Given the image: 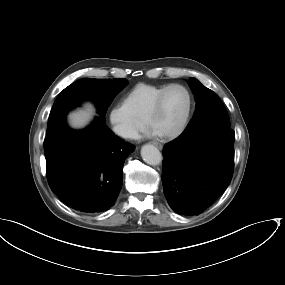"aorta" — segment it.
<instances>
[{
  "label": "aorta",
  "mask_w": 285,
  "mask_h": 285,
  "mask_svg": "<svg viewBox=\"0 0 285 285\" xmlns=\"http://www.w3.org/2000/svg\"><path fill=\"white\" fill-rule=\"evenodd\" d=\"M141 157L149 165H159L162 161L161 152L157 147L146 144L141 148Z\"/></svg>",
  "instance_id": "aorta-1"
}]
</instances>
